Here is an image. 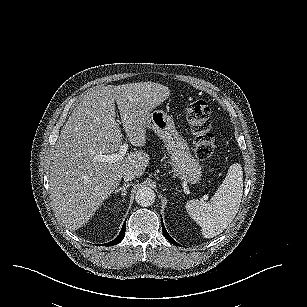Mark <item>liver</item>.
Segmentation results:
<instances>
[{
	"label": "liver",
	"mask_w": 307,
	"mask_h": 307,
	"mask_svg": "<svg viewBox=\"0 0 307 307\" xmlns=\"http://www.w3.org/2000/svg\"><path fill=\"white\" fill-rule=\"evenodd\" d=\"M168 96V87L152 81L94 87L83 94L61 130L50 162L51 204L67 228L85 224L126 171L140 177L148 165L149 155L142 150L114 163L98 159L116 152L123 140L115 101L126 140L140 147L148 111Z\"/></svg>",
	"instance_id": "obj_1"
}]
</instances>
